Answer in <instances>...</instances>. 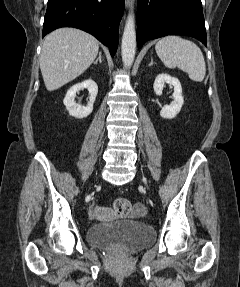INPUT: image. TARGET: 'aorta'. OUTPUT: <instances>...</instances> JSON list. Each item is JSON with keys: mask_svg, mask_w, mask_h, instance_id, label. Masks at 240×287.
Masks as SVG:
<instances>
[{"mask_svg": "<svg viewBox=\"0 0 240 287\" xmlns=\"http://www.w3.org/2000/svg\"><path fill=\"white\" fill-rule=\"evenodd\" d=\"M136 52V32L134 14L128 15L121 43V56L125 68L132 66Z\"/></svg>", "mask_w": 240, "mask_h": 287, "instance_id": "1", "label": "aorta"}]
</instances>
